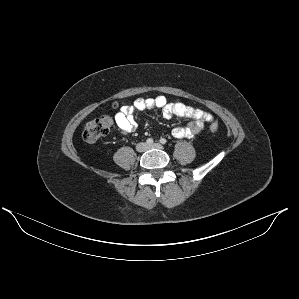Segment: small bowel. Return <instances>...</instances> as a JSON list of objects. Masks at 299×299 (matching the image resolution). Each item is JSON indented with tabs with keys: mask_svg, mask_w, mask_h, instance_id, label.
Masks as SVG:
<instances>
[{
	"mask_svg": "<svg viewBox=\"0 0 299 299\" xmlns=\"http://www.w3.org/2000/svg\"><path fill=\"white\" fill-rule=\"evenodd\" d=\"M162 109L166 118L179 116L191 119L186 126H178L173 128L172 135L175 138H193L199 135L206 123L213 121V115L182 103H170L165 96H157L155 98H138L132 105L123 106L115 116V121L120 131L124 135L132 133L136 127L134 119L136 112L146 109Z\"/></svg>",
	"mask_w": 299,
	"mask_h": 299,
	"instance_id": "small-bowel-1",
	"label": "small bowel"
}]
</instances>
